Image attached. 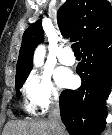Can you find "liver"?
Here are the masks:
<instances>
[{
    "label": "liver",
    "instance_id": "1",
    "mask_svg": "<svg viewBox=\"0 0 112 135\" xmlns=\"http://www.w3.org/2000/svg\"><path fill=\"white\" fill-rule=\"evenodd\" d=\"M53 133L49 120L10 122L4 131V135H54ZM63 135H65L64 130Z\"/></svg>",
    "mask_w": 112,
    "mask_h": 135
}]
</instances>
